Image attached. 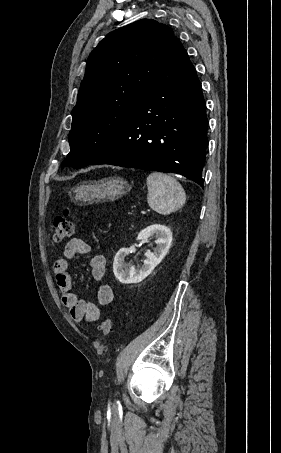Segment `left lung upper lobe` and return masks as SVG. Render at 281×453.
Instances as JSON below:
<instances>
[{
  "mask_svg": "<svg viewBox=\"0 0 281 453\" xmlns=\"http://www.w3.org/2000/svg\"><path fill=\"white\" fill-rule=\"evenodd\" d=\"M174 39L168 26L142 19L100 41L87 61L62 167L90 165L109 147L166 63Z\"/></svg>",
  "mask_w": 281,
  "mask_h": 453,
  "instance_id": "5c2ea615",
  "label": "left lung upper lobe"
}]
</instances>
